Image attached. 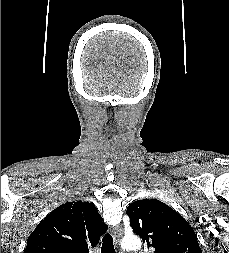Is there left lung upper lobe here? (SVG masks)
Instances as JSON below:
<instances>
[{
    "label": "left lung upper lobe",
    "mask_w": 229,
    "mask_h": 253,
    "mask_svg": "<svg viewBox=\"0 0 229 253\" xmlns=\"http://www.w3.org/2000/svg\"><path fill=\"white\" fill-rule=\"evenodd\" d=\"M126 213L133 231L154 253H202L192 227L165 203L138 200L128 206Z\"/></svg>",
    "instance_id": "5c2ea615"
}]
</instances>
